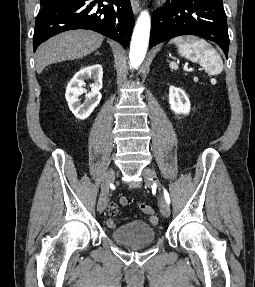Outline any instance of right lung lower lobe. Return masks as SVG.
<instances>
[{"label": "right lung lower lobe", "mask_w": 255, "mask_h": 287, "mask_svg": "<svg viewBox=\"0 0 255 287\" xmlns=\"http://www.w3.org/2000/svg\"><path fill=\"white\" fill-rule=\"evenodd\" d=\"M108 2V4H103ZM134 16L130 0H65L45 5L36 18L33 48L72 29H90L129 45Z\"/></svg>", "instance_id": "right-lung-lower-lobe-1"}]
</instances>
